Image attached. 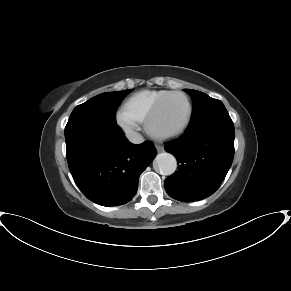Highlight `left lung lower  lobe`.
<instances>
[{
	"label": "left lung lower lobe",
	"instance_id": "1",
	"mask_svg": "<svg viewBox=\"0 0 291 291\" xmlns=\"http://www.w3.org/2000/svg\"><path fill=\"white\" fill-rule=\"evenodd\" d=\"M234 124L225 108L192 122L186 133L167 142L178 171L166 178V192L191 202L213 194L223 182L234 156Z\"/></svg>",
	"mask_w": 291,
	"mask_h": 291
}]
</instances>
